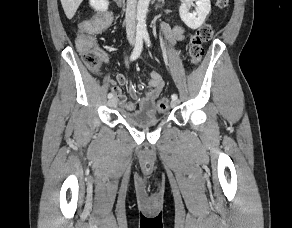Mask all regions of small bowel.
Segmentation results:
<instances>
[{
  "mask_svg": "<svg viewBox=\"0 0 292 228\" xmlns=\"http://www.w3.org/2000/svg\"><path fill=\"white\" fill-rule=\"evenodd\" d=\"M162 29L164 34L173 42L180 41L184 38V30L181 26L171 27L164 23L162 25ZM115 79L116 82L111 84L110 89L115 94L117 105L121 109L135 114H154L156 112L155 102L164 87V81L157 70L152 69L150 71L149 78L147 80L150 90L147 91L142 97L139 96L134 85H130L129 87V94L138 103V109L134 102L127 100L126 95L120 87L127 83V78L122 73L116 72Z\"/></svg>",
  "mask_w": 292,
  "mask_h": 228,
  "instance_id": "c3829d8e",
  "label": "small bowel"
}]
</instances>
